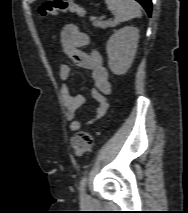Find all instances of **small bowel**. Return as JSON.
<instances>
[{"mask_svg":"<svg viewBox=\"0 0 188 213\" xmlns=\"http://www.w3.org/2000/svg\"><path fill=\"white\" fill-rule=\"evenodd\" d=\"M60 43L64 53L77 66L92 72L94 80L92 96L96 102L95 117L85 122V125L91 126L97 120L104 117L109 108L107 97L111 93V83L108 70L103 65L100 52L94 50L86 53L82 50L83 47L89 45L90 38L78 26L74 24L65 25L60 33ZM71 73L70 65H60L59 76L62 80L69 79ZM62 98L65 106V118L69 122V129L72 132H76L81 128L82 123L75 120V115L77 110L85 103V98L82 95L74 94L67 85L63 87Z\"/></svg>","mask_w":188,"mask_h":213,"instance_id":"small-bowel-1","label":"small bowel"}]
</instances>
